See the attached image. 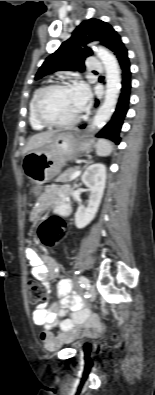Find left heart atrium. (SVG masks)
Returning a JSON list of instances; mask_svg holds the SVG:
<instances>
[{
	"mask_svg": "<svg viewBox=\"0 0 155 395\" xmlns=\"http://www.w3.org/2000/svg\"><path fill=\"white\" fill-rule=\"evenodd\" d=\"M75 102L79 112L83 111L90 100V92L86 84L79 82L73 87Z\"/></svg>",
	"mask_w": 155,
	"mask_h": 395,
	"instance_id": "1",
	"label": "left heart atrium"
}]
</instances>
